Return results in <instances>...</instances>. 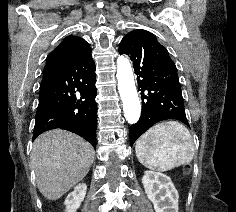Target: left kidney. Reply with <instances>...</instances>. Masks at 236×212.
I'll list each match as a JSON object with an SVG mask.
<instances>
[{
    "instance_id": "1",
    "label": "left kidney",
    "mask_w": 236,
    "mask_h": 212,
    "mask_svg": "<svg viewBox=\"0 0 236 212\" xmlns=\"http://www.w3.org/2000/svg\"><path fill=\"white\" fill-rule=\"evenodd\" d=\"M142 184L155 212H178V191L168 176L145 171Z\"/></svg>"
}]
</instances>
